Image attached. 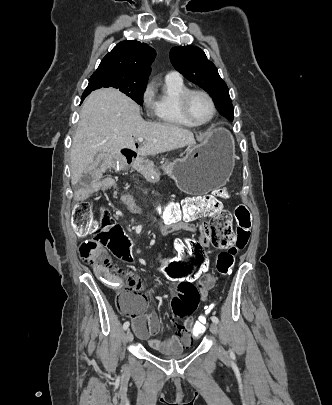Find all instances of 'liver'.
<instances>
[{
	"instance_id": "1",
	"label": "liver",
	"mask_w": 332,
	"mask_h": 405,
	"mask_svg": "<svg viewBox=\"0 0 332 405\" xmlns=\"http://www.w3.org/2000/svg\"><path fill=\"white\" fill-rule=\"evenodd\" d=\"M138 137L146 141L137 150L143 157L196 144L193 133L185 128L144 121L139 106L120 91H93L82 107L70 150L72 184L80 180L97 153L112 166L113 156L121 149L134 148V138Z\"/></svg>"
}]
</instances>
